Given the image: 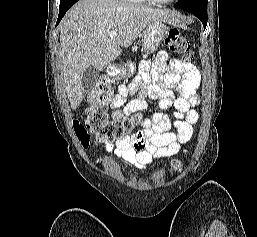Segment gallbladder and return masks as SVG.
<instances>
[{
  "mask_svg": "<svg viewBox=\"0 0 257 237\" xmlns=\"http://www.w3.org/2000/svg\"><path fill=\"white\" fill-rule=\"evenodd\" d=\"M99 79V70L95 66H90L82 75V85L86 92H89Z\"/></svg>",
  "mask_w": 257,
  "mask_h": 237,
  "instance_id": "obj_1",
  "label": "gallbladder"
}]
</instances>
